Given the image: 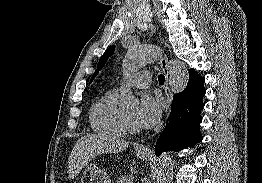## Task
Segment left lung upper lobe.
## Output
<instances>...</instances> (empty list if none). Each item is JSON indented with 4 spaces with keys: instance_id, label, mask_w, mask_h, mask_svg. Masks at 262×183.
<instances>
[{
    "instance_id": "1",
    "label": "left lung upper lobe",
    "mask_w": 262,
    "mask_h": 183,
    "mask_svg": "<svg viewBox=\"0 0 262 183\" xmlns=\"http://www.w3.org/2000/svg\"><path fill=\"white\" fill-rule=\"evenodd\" d=\"M115 50V46H111L109 47L105 53L102 55V57L100 58L98 65H97V70L95 71V73L93 74L91 81L95 78V76L98 74L99 70L104 66L105 62L107 61V59L109 58V56H111L113 54Z\"/></svg>"
}]
</instances>
